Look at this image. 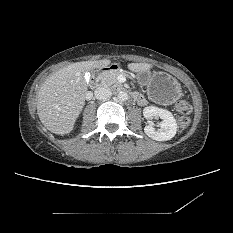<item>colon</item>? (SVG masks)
I'll list each match as a JSON object with an SVG mask.
<instances>
[{"mask_svg": "<svg viewBox=\"0 0 233 233\" xmlns=\"http://www.w3.org/2000/svg\"><path fill=\"white\" fill-rule=\"evenodd\" d=\"M176 110L180 114L177 120V127L179 131H183L190 124L189 115L192 112V106L189 102L180 100L176 104Z\"/></svg>", "mask_w": 233, "mask_h": 233, "instance_id": "colon-1", "label": "colon"}]
</instances>
